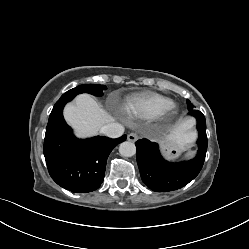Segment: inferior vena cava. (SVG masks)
Listing matches in <instances>:
<instances>
[{"instance_id": "602c4592", "label": "inferior vena cava", "mask_w": 249, "mask_h": 249, "mask_svg": "<svg viewBox=\"0 0 249 249\" xmlns=\"http://www.w3.org/2000/svg\"><path fill=\"white\" fill-rule=\"evenodd\" d=\"M101 132L110 138H118L124 133V126L118 123H109L101 128Z\"/></svg>"}]
</instances>
